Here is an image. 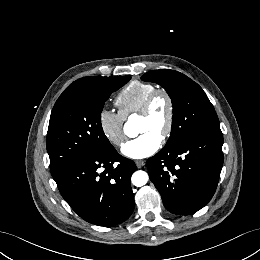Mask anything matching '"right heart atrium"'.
<instances>
[{"label": "right heart atrium", "instance_id": "d8ad5b80", "mask_svg": "<svg viewBox=\"0 0 260 260\" xmlns=\"http://www.w3.org/2000/svg\"><path fill=\"white\" fill-rule=\"evenodd\" d=\"M98 124L102 134L112 145H122L125 140L124 118L119 112L102 108L98 114Z\"/></svg>", "mask_w": 260, "mask_h": 260}]
</instances>
